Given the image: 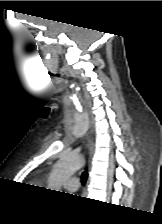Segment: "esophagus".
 <instances>
[{"mask_svg": "<svg viewBox=\"0 0 162 224\" xmlns=\"http://www.w3.org/2000/svg\"><path fill=\"white\" fill-rule=\"evenodd\" d=\"M88 148H89L88 165H89V170H90L91 167H92V158H93V155H94V144H93L92 140L89 142ZM88 182H89V179L87 181V184H88Z\"/></svg>", "mask_w": 162, "mask_h": 224, "instance_id": "1", "label": "esophagus"}]
</instances>
